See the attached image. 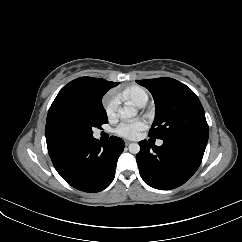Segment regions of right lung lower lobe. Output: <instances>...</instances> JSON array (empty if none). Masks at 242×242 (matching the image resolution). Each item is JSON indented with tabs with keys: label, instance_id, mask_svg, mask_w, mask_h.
I'll use <instances>...</instances> for the list:
<instances>
[{
	"label": "right lung lower lobe",
	"instance_id": "right-lung-lower-lobe-1",
	"mask_svg": "<svg viewBox=\"0 0 242 242\" xmlns=\"http://www.w3.org/2000/svg\"><path fill=\"white\" fill-rule=\"evenodd\" d=\"M124 147V141L115 136L103 144L86 135L69 136L47 146L60 176L72 187L90 193L111 184Z\"/></svg>",
	"mask_w": 242,
	"mask_h": 242
}]
</instances>
